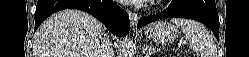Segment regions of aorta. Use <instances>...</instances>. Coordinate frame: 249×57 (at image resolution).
I'll use <instances>...</instances> for the list:
<instances>
[{"mask_svg": "<svg viewBox=\"0 0 249 57\" xmlns=\"http://www.w3.org/2000/svg\"><path fill=\"white\" fill-rule=\"evenodd\" d=\"M135 54L134 52V45L133 41L130 38L125 39V48L123 51V57H133Z\"/></svg>", "mask_w": 249, "mask_h": 57, "instance_id": "obj_1", "label": "aorta"}]
</instances>
